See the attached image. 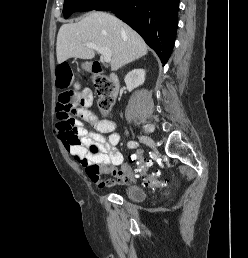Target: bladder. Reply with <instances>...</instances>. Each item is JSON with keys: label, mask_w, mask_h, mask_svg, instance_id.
Segmentation results:
<instances>
[{"label": "bladder", "mask_w": 248, "mask_h": 258, "mask_svg": "<svg viewBox=\"0 0 248 258\" xmlns=\"http://www.w3.org/2000/svg\"><path fill=\"white\" fill-rule=\"evenodd\" d=\"M124 194L133 202L143 201L146 197L145 191L137 185L128 186L125 189Z\"/></svg>", "instance_id": "obj_1"}]
</instances>
